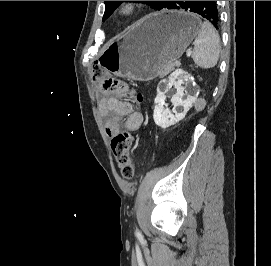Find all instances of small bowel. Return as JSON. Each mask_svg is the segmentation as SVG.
<instances>
[{
	"label": "small bowel",
	"instance_id": "1",
	"mask_svg": "<svg viewBox=\"0 0 271 266\" xmlns=\"http://www.w3.org/2000/svg\"><path fill=\"white\" fill-rule=\"evenodd\" d=\"M100 112L104 117H107L105 130L108 136L116 134L123 126L128 131H137L143 123L142 113L134 110L130 102L124 101L119 97L104 96L99 102Z\"/></svg>",
	"mask_w": 271,
	"mask_h": 266
}]
</instances>
